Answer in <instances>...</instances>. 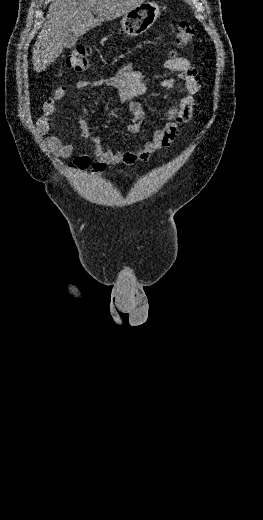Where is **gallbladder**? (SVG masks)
Masks as SVG:
<instances>
[{
	"mask_svg": "<svg viewBox=\"0 0 263 520\" xmlns=\"http://www.w3.org/2000/svg\"><path fill=\"white\" fill-rule=\"evenodd\" d=\"M66 41H67V45H66L67 48H73L76 44V41L73 38V35L67 36Z\"/></svg>",
	"mask_w": 263,
	"mask_h": 520,
	"instance_id": "gallbladder-1",
	"label": "gallbladder"
}]
</instances>
